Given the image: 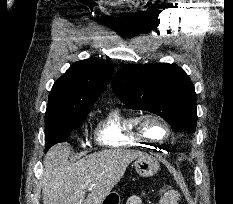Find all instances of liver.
Instances as JSON below:
<instances>
[{"label": "liver", "instance_id": "obj_1", "mask_svg": "<svg viewBox=\"0 0 233 204\" xmlns=\"http://www.w3.org/2000/svg\"><path fill=\"white\" fill-rule=\"evenodd\" d=\"M69 143L54 145L43 162V204H102L141 151L103 150L70 163ZM91 192L85 198V192Z\"/></svg>", "mask_w": 233, "mask_h": 204}]
</instances>
